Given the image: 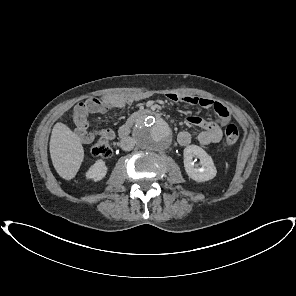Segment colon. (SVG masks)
Wrapping results in <instances>:
<instances>
[{
    "label": "colon",
    "mask_w": 296,
    "mask_h": 296,
    "mask_svg": "<svg viewBox=\"0 0 296 296\" xmlns=\"http://www.w3.org/2000/svg\"><path fill=\"white\" fill-rule=\"evenodd\" d=\"M133 98V97H132ZM79 112H84V109H79ZM239 138L238 127L231 123L225 128V143L227 146H231L237 142ZM91 154L95 157L107 159L112 155V147L107 138L101 137L98 139L91 148Z\"/></svg>",
    "instance_id": "1"
}]
</instances>
